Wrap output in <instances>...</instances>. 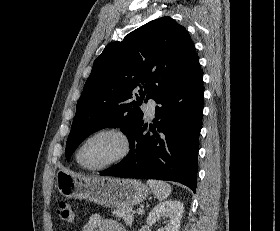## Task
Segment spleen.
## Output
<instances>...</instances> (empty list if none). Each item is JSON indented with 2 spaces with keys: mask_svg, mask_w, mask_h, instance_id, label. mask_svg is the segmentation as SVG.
<instances>
[{
  "mask_svg": "<svg viewBox=\"0 0 280 231\" xmlns=\"http://www.w3.org/2000/svg\"><path fill=\"white\" fill-rule=\"evenodd\" d=\"M147 183L149 187H151L153 193H155L159 201H164V199H167L168 195H170L172 191L171 185H169V183H166V181H158V179H148Z\"/></svg>",
  "mask_w": 280,
  "mask_h": 231,
  "instance_id": "spleen-1",
  "label": "spleen"
}]
</instances>
